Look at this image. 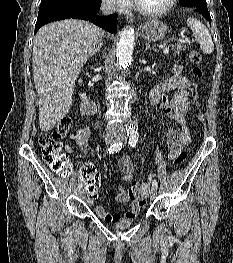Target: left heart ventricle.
Returning a JSON list of instances; mask_svg holds the SVG:
<instances>
[{
  "instance_id": "b2bd125f",
  "label": "left heart ventricle",
  "mask_w": 233,
  "mask_h": 263,
  "mask_svg": "<svg viewBox=\"0 0 233 263\" xmlns=\"http://www.w3.org/2000/svg\"><path fill=\"white\" fill-rule=\"evenodd\" d=\"M143 9L155 11L164 8L169 0H135Z\"/></svg>"
}]
</instances>
